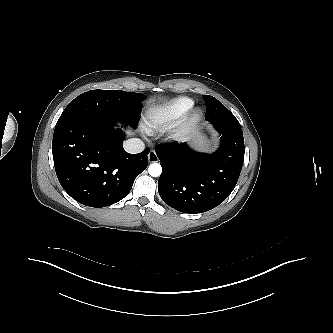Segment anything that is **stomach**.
Masks as SVG:
<instances>
[{"instance_id": "1", "label": "stomach", "mask_w": 333, "mask_h": 333, "mask_svg": "<svg viewBox=\"0 0 333 333\" xmlns=\"http://www.w3.org/2000/svg\"><path fill=\"white\" fill-rule=\"evenodd\" d=\"M194 144L199 148H204L207 145V142L203 136L196 134Z\"/></svg>"}]
</instances>
